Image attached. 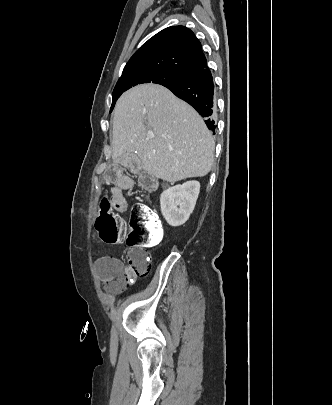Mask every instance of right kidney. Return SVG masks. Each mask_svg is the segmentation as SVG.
Segmentation results:
<instances>
[{
    "label": "right kidney",
    "mask_w": 332,
    "mask_h": 405,
    "mask_svg": "<svg viewBox=\"0 0 332 405\" xmlns=\"http://www.w3.org/2000/svg\"><path fill=\"white\" fill-rule=\"evenodd\" d=\"M199 192L198 181H188L163 191L160 197L161 212L170 226L183 225L189 219Z\"/></svg>",
    "instance_id": "ca27d5eb"
}]
</instances>
